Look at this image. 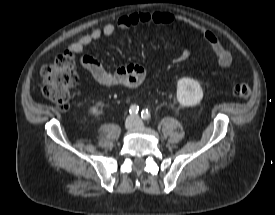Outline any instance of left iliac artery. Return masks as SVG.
Segmentation results:
<instances>
[{
    "mask_svg": "<svg viewBox=\"0 0 275 215\" xmlns=\"http://www.w3.org/2000/svg\"><path fill=\"white\" fill-rule=\"evenodd\" d=\"M141 117L144 119V120H149L151 115L149 113V111L146 109V110H143L141 112Z\"/></svg>",
    "mask_w": 275,
    "mask_h": 215,
    "instance_id": "left-iliac-artery-1",
    "label": "left iliac artery"
}]
</instances>
